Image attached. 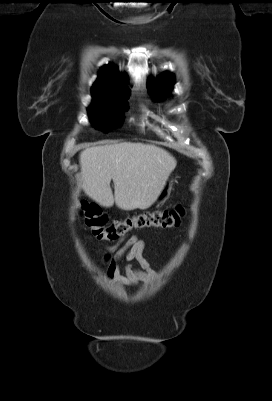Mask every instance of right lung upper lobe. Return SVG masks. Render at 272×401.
Returning <instances> with one entry per match:
<instances>
[{"label": "right lung upper lobe", "mask_w": 272, "mask_h": 401, "mask_svg": "<svg viewBox=\"0 0 272 401\" xmlns=\"http://www.w3.org/2000/svg\"><path fill=\"white\" fill-rule=\"evenodd\" d=\"M129 89L119 71L112 64L103 66L92 87L93 100L127 95Z\"/></svg>", "instance_id": "cb5924a9"}]
</instances>
